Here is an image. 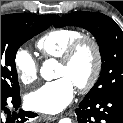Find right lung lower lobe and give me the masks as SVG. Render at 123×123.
Returning a JSON list of instances; mask_svg holds the SVG:
<instances>
[{"label":"right lung lower lobe","mask_w":123,"mask_h":123,"mask_svg":"<svg viewBox=\"0 0 123 123\" xmlns=\"http://www.w3.org/2000/svg\"><path fill=\"white\" fill-rule=\"evenodd\" d=\"M20 102L19 93L12 96H1V123H24L29 118L37 116L36 113L23 110H20L19 113L10 112L7 108L8 105H11L17 110Z\"/></svg>","instance_id":"1"}]
</instances>
